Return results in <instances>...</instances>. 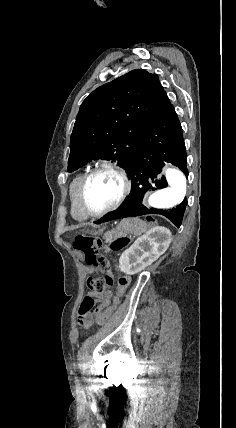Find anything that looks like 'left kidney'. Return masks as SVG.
<instances>
[{
	"instance_id": "5707ae66",
	"label": "left kidney",
	"mask_w": 236,
	"mask_h": 428,
	"mask_svg": "<svg viewBox=\"0 0 236 428\" xmlns=\"http://www.w3.org/2000/svg\"><path fill=\"white\" fill-rule=\"evenodd\" d=\"M171 232L162 226L151 228L147 234L135 240L134 244L125 250L119 258V268L124 274H138L153 262L158 260L169 248Z\"/></svg>"
}]
</instances>
